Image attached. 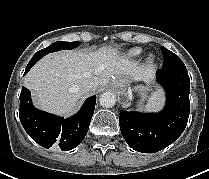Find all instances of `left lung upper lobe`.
Listing matches in <instances>:
<instances>
[{
    "instance_id": "left-lung-upper-lobe-1",
    "label": "left lung upper lobe",
    "mask_w": 209,
    "mask_h": 179,
    "mask_svg": "<svg viewBox=\"0 0 209 179\" xmlns=\"http://www.w3.org/2000/svg\"><path fill=\"white\" fill-rule=\"evenodd\" d=\"M161 50L164 56V62H163L162 68L169 69V68H175V67L184 65L181 59L173 52L169 51L163 46L161 47Z\"/></svg>"
}]
</instances>
